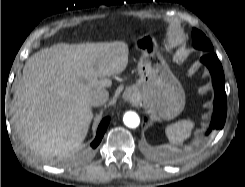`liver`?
<instances>
[{
  "instance_id": "6515ba94",
  "label": "liver",
  "mask_w": 245,
  "mask_h": 187,
  "mask_svg": "<svg viewBox=\"0 0 245 187\" xmlns=\"http://www.w3.org/2000/svg\"><path fill=\"white\" fill-rule=\"evenodd\" d=\"M125 42L58 43L27 59L10 112L21 140L36 154L66 155L80 147L93 119L90 93L112 85L128 64Z\"/></svg>"
}]
</instances>
